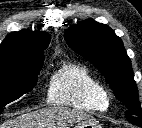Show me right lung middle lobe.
I'll return each instance as SVG.
<instances>
[{
	"label": "right lung middle lobe",
	"mask_w": 142,
	"mask_h": 128,
	"mask_svg": "<svg viewBox=\"0 0 142 128\" xmlns=\"http://www.w3.org/2000/svg\"><path fill=\"white\" fill-rule=\"evenodd\" d=\"M42 65L43 60L35 61L14 77H0V110L35 87Z\"/></svg>",
	"instance_id": "right-lung-middle-lobe-1"
}]
</instances>
